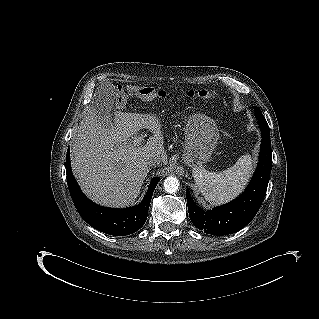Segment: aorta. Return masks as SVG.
Returning <instances> with one entry per match:
<instances>
[{
    "instance_id": "1",
    "label": "aorta",
    "mask_w": 319,
    "mask_h": 319,
    "mask_svg": "<svg viewBox=\"0 0 319 319\" xmlns=\"http://www.w3.org/2000/svg\"><path fill=\"white\" fill-rule=\"evenodd\" d=\"M164 189L167 193H176L179 189V181L176 177L169 176L164 180Z\"/></svg>"
}]
</instances>
